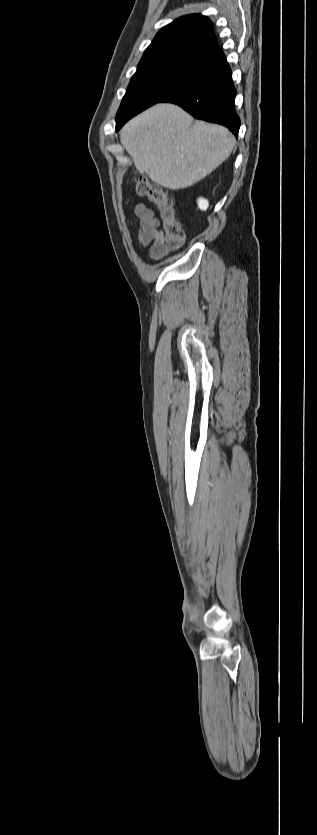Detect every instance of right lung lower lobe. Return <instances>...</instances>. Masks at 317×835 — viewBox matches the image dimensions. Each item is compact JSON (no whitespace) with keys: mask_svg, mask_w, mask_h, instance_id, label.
I'll return each mask as SVG.
<instances>
[{"mask_svg":"<svg viewBox=\"0 0 317 835\" xmlns=\"http://www.w3.org/2000/svg\"><path fill=\"white\" fill-rule=\"evenodd\" d=\"M190 59L206 80L162 102L177 104L194 118L223 125L237 136L240 120L234 109L236 89L223 52L217 49Z\"/></svg>","mask_w":317,"mask_h":835,"instance_id":"98d812e1","label":"right lung lower lobe"}]
</instances>
